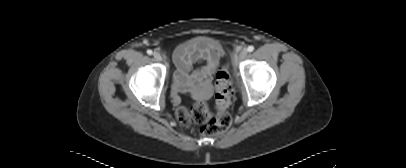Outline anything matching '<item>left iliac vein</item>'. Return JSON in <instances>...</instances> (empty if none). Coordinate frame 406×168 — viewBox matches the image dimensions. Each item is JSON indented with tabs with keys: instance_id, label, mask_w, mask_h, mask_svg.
<instances>
[{
	"instance_id": "1",
	"label": "left iliac vein",
	"mask_w": 406,
	"mask_h": 168,
	"mask_svg": "<svg viewBox=\"0 0 406 168\" xmlns=\"http://www.w3.org/2000/svg\"><path fill=\"white\" fill-rule=\"evenodd\" d=\"M246 56H247V50H246V49H243V50L239 53V55H238L237 57H235V61H236V62H239V61L243 60Z\"/></svg>"
}]
</instances>
